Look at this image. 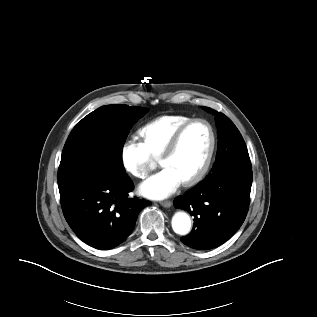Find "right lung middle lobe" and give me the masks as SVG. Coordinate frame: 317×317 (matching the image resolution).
<instances>
[{"label":"right lung middle lobe","mask_w":317,"mask_h":317,"mask_svg":"<svg viewBox=\"0 0 317 317\" xmlns=\"http://www.w3.org/2000/svg\"><path fill=\"white\" fill-rule=\"evenodd\" d=\"M147 112V108L138 106L106 105L84 117L73 128L63 148L58 183L98 162L109 161L124 168V142L133 124Z\"/></svg>","instance_id":"1"}]
</instances>
